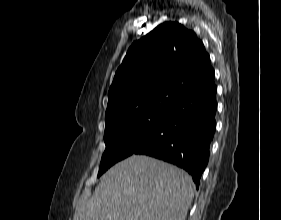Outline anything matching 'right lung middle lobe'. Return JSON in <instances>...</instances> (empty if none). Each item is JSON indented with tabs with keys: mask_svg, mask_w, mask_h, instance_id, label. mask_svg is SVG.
I'll return each mask as SVG.
<instances>
[{
	"mask_svg": "<svg viewBox=\"0 0 281 220\" xmlns=\"http://www.w3.org/2000/svg\"><path fill=\"white\" fill-rule=\"evenodd\" d=\"M168 112L154 111L123 116L105 127V152L98 177L116 162L132 155L163 125Z\"/></svg>",
	"mask_w": 281,
	"mask_h": 220,
	"instance_id": "right-lung-middle-lobe-1",
	"label": "right lung middle lobe"
}]
</instances>
